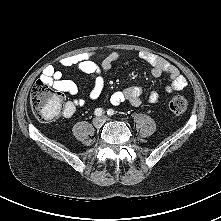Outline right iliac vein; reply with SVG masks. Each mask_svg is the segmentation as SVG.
<instances>
[{"instance_id": "63e3f726", "label": "right iliac vein", "mask_w": 221, "mask_h": 221, "mask_svg": "<svg viewBox=\"0 0 221 221\" xmlns=\"http://www.w3.org/2000/svg\"><path fill=\"white\" fill-rule=\"evenodd\" d=\"M104 123V120L102 117H96L93 119V125L96 127V128H100Z\"/></svg>"}]
</instances>
